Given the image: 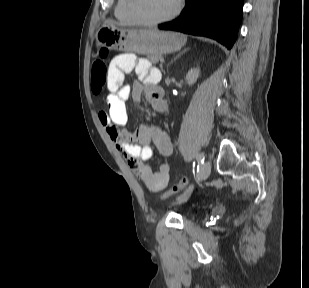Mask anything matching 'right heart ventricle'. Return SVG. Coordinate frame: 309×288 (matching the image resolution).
Wrapping results in <instances>:
<instances>
[{
  "label": "right heart ventricle",
  "instance_id": "obj_1",
  "mask_svg": "<svg viewBox=\"0 0 309 288\" xmlns=\"http://www.w3.org/2000/svg\"><path fill=\"white\" fill-rule=\"evenodd\" d=\"M115 17L122 24H134V21L127 12V0H117L114 8Z\"/></svg>",
  "mask_w": 309,
  "mask_h": 288
}]
</instances>
